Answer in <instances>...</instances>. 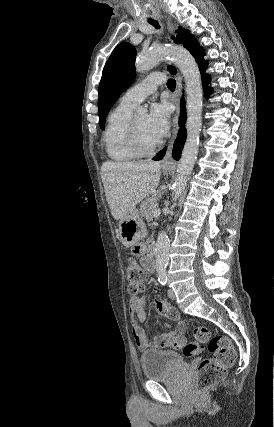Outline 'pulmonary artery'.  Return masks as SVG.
<instances>
[{
    "label": "pulmonary artery",
    "mask_w": 274,
    "mask_h": 427,
    "mask_svg": "<svg viewBox=\"0 0 274 427\" xmlns=\"http://www.w3.org/2000/svg\"><path fill=\"white\" fill-rule=\"evenodd\" d=\"M164 81L165 79L160 73H151L130 88L121 98L120 104L132 108L137 107L146 97L155 93L158 86Z\"/></svg>",
    "instance_id": "pulmonary-artery-1"
}]
</instances>
